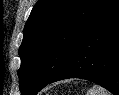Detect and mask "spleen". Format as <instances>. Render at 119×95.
I'll use <instances>...</instances> for the list:
<instances>
[{"label":"spleen","mask_w":119,"mask_h":95,"mask_svg":"<svg viewBox=\"0 0 119 95\" xmlns=\"http://www.w3.org/2000/svg\"><path fill=\"white\" fill-rule=\"evenodd\" d=\"M87 95H111V93L101 86L94 85L93 88L88 90Z\"/></svg>","instance_id":"1"}]
</instances>
